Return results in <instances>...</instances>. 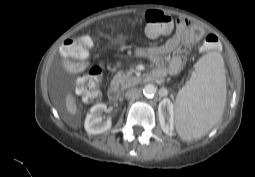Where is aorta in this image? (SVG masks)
<instances>
[{
    "instance_id": "obj_1",
    "label": "aorta",
    "mask_w": 255,
    "mask_h": 177,
    "mask_svg": "<svg viewBox=\"0 0 255 177\" xmlns=\"http://www.w3.org/2000/svg\"><path fill=\"white\" fill-rule=\"evenodd\" d=\"M155 93L156 87L152 84L145 85V87L143 88V94L145 97H153Z\"/></svg>"
}]
</instances>
